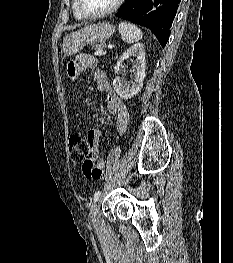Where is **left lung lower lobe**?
<instances>
[{
  "instance_id": "0a47b994",
  "label": "left lung lower lobe",
  "mask_w": 233,
  "mask_h": 263,
  "mask_svg": "<svg viewBox=\"0 0 233 263\" xmlns=\"http://www.w3.org/2000/svg\"><path fill=\"white\" fill-rule=\"evenodd\" d=\"M180 0H126L116 16L149 28L164 47Z\"/></svg>"
}]
</instances>
